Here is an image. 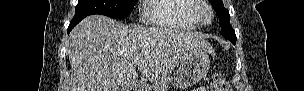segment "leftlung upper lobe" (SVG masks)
<instances>
[{
	"mask_svg": "<svg viewBox=\"0 0 304 91\" xmlns=\"http://www.w3.org/2000/svg\"><path fill=\"white\" fill-rule=\"evenodd\" d=\"M219 17L221 34L229 39L232 43L236 41L235 32L230 24L229 11L224 8L222 0H209Z\"/></svg>",
	"mask_w": 304,
	"mask_h": 91,
	"instance_id": "5c2ea615",
	"label": "left lung upper lobe"
}]
</instances>
